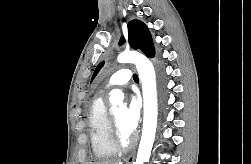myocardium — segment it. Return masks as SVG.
<instances>
[{
	"label": "myocardium",
	"mask_w": 251,
	"mask_h": 164,
	"mask_svg": "<svg viewBox=\"0 0 251 164\" xmlns=\"http://www.w3.org/2000/svg\"><path fill=\"white\" fill-rule=\"evenodd\" d=\"M109 120L111 127V137L114 146L120 151H125L131 148L135 143L134 136L130 134L127 138L123 137L112 113L109 114Z\"/></svg>",
	"instance_id": "obj_1"
}]
</instances>
